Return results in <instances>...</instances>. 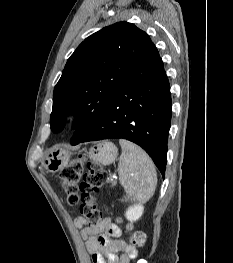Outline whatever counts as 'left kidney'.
I'll use <instances>...</instances> for the list:
<instances>
[{"instance_id": "1", "label": "left kidney", "mask_w": 233, "mask_h": 263, "mask_svg": "<svg viewBox=\"0 0 233 263\" xmlns=\"http://www.w3.org/2000/svg\"><path fill=\"white\" fill-rule=\"evenodd\" d=\"M143 211H144V207L140 204H136V205L130 206L127 209L125 216L128 221L135 222L142 216Z\"/></svg>"}]
</instances>
